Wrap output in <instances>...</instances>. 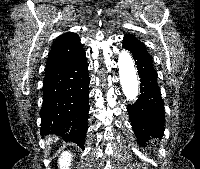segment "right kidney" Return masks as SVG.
Returning <instances> with one entry per match:
<instances>
[{
	"label": "right kidney",
	"instance_id": "obj_1",
	"mask_svg": "<svg viewBox=\"0 0 200 169\" xmlns=\"http://www.w3.org/2000/svg\"><path fill=\"white\" fill-rule=\"evenodd\" d=\"M71 161L72 154L69 151L62 152L58 160L60 166L59 169H70Z\"/></svg>",
	"mask_w": 200,
	"mask_h": 169
}]
</instances>
